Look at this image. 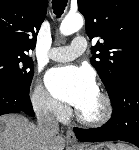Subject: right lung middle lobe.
I'll use <instances>...</instances> for the list:
<instances>
[{
  "mask_svg": "<svg viewBox=\"0 0 139 150\" xmlns=\"http://www.w3.org/2000/svg\"><path fill=\"white\" fill-rule=\"evenodd\" d=\"M33 78V62L29 54L0 49V84L29 90Z\"/></svg>",
  "mask_w": 139,
  "mask_h": 150,
  "instance_id": "1",
  "label": "right lung middle lobe"
}]
</instances>
